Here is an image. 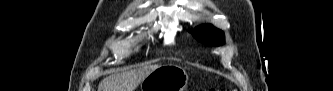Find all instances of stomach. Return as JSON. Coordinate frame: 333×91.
<instances>
[{
  "instance_id": "1",
  "label": "stomach",
  "mask_w": 333,
  "mask_h": 91,
  "mask_svg": "<svg viewBox=\"0 0 333 91\" xmlns=\"http://www.w3.org/2000/svg\"><path fill=\"white\" fill-rule=\"evenodd\" d=\"M188 84L186 71L177 65H164L152 71L142 82L141 91H185Z\"/></svg>"
}]
</instances>
